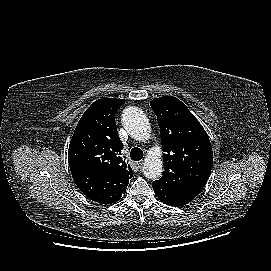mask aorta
Here are the masks:
<instances>
[{"instance_id": "aorta-1", "label": "aorta", "mask_w": 271, "mask_h": 271, "mask_svg": "<svg viewBox=\"0 0 271 271\" xmlns=\"http://www.w3.org/2000/svg\"><path fill=\"white\" fill-rule=\"evenodd\" d=\"M122 122L124 128L137 141L149 139L151 126L146 115L137 107L130 106L123 110ZM159 149L148 153L143 166L144 176L151 180L158 179L163 172V161Z\"/></svg>"}]
</instances>
